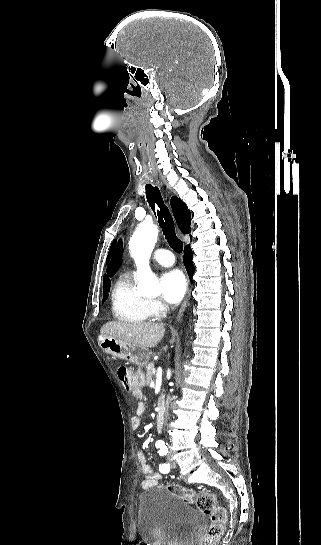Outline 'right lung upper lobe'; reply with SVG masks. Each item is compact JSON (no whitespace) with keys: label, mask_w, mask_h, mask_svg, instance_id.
Wrapping results in <instances>:
<instances>
[{"label":"right lung upper lobe","mask_w":321,"mask_h":545,"mask_svg":"<svg viewBox=\"0 0 321 545\" xmlns=\"http://www.w3.org/2000/svg\"><path fill=\"white\" fill-rule=\"evenodd\" d=\"M171 207H172V211H173V215L175 217V220H176L180 230L182 231V233H184V234L190 233V230H191V227H190L191 213L188 210L187 206L179 198L174 196V197L171 198ZM115 242H116V240H114L112 245H111V248L109 250V254H108V257H107V262L109 261V259L111 257ZM107 288H110V280L105 275L104 280H103V289H107Z\"/></svg>","instance_id":"1"}]
</instances>
